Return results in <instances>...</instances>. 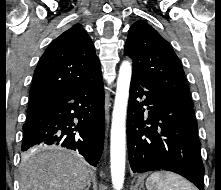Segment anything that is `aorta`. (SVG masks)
Wrapping results in <instances>:
<instances>
[{"label":"aorta","mask_w":221,"mask_h":190,"mask_svg":"<svg viewBox=\"0 0 221 190\" xmlns=\"http://www.w3.org/2000/svg\"><path fill=\"white\" fill-rule=\"evenodd\" d=\"M131 75V63L129 61H124L120 66L117 79V89L113 106L110 136L111 178L113 188L115 190L122 189L125 176V125Z\"/></svg>","instance_id":"1"}]
</instances>
